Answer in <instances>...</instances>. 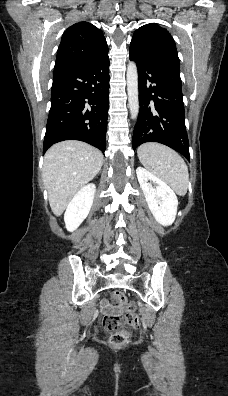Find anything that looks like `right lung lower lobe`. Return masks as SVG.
<instances>
[{
  "instance_id": "right-lung-lower-lobe-1",
  "label": "right lung lower lobe",
  "mask_w": 228,
  "mask_h": 396,
  "mask_svg": "<svg viewBox=\"0 0 228 396\" xmlns=\"http://www.w3.org/2000/svg\"><path fill=\"white\" fill-rule=\"evenodd\" d=\"M108 52L53 75L43 153L59 141L80 140L105 152L109 108Z\"/></svg>"
}]
</instances>
